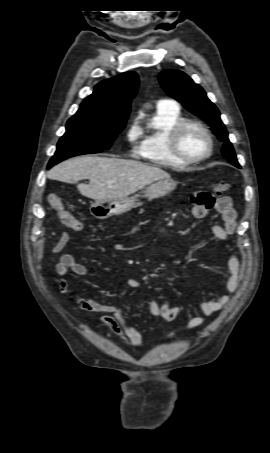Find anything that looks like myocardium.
<instances>
[{
	"label": "myocardium",
	"mask_w": 270,
	"mask_h": 453,
	"mask_svg": "<svg viewBox=\"0 0 270 453\" xmlns=\"http://www.w3.org/2000/svg\"><path fill=\"white\" fill-rule=\"evenodd\" d=\"M190 126L197 127L198 129L201 130V132L205 135L207 138L208 142V147L207 151L205 154L202 156L193 158L185 155L181 149H180V137L183 131ZM168 145L170 152L173 154V156L178 159L179 161L186 163V164H198L200 162L205 161L208 159L213 152V137L209 129L206 127V125L198 120H193V119H183L180 122H178L170 131L169 136H168Z\"/></svg>",
	"instance_id": "f54148a6"
}]
</instances>
